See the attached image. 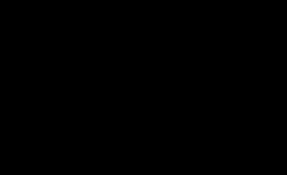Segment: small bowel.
Segmentation results:
<instances>
[{
	"mask_svg": "<svg viewBox=\"0 0 287 175\" xmlns=\"http://www.w3.org/2000/svg\"><path fill=\"white\" fill-rule=\"evenodd\" d=\"M182 80L184 82H187V83H190V84H194V83L198 82L197 77H196L195 74H189L186 77H184Z\"/></svg>",
	"mask_w": 287,
	"mask_h": 175,
	"instance_id": "c3829d8e",
	"label": "small bowel"
}]
</instances>
